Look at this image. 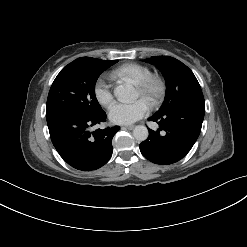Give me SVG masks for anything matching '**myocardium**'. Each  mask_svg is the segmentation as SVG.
<instances>
[{
	"instance_id": "obj_1",
	"label": "myocardium",
	"mask_w": 247,
	"mask_h": 247,
	"mask_svg": "<svg viewBox=\"0 0 247 247\" xmlns=\"http://www.w3.org/2000/svg\"><path fill=\"white\" fill-rule=\"evenodd\" d=\"M137 89L142 98L151 105H157L165 95L166 82L163 77L151 74L143 82L137 84Z\"/></svg>"
}]
</instances>
